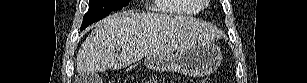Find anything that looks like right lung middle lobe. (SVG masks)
<instances>
[{
  "label": "right lung middle lobe",
  "instance_id": "dd1d6c3e",
  "mask_svg": "<svg viewBox=\"0 0 307 83\" xmlns=\"http://www.w3.org/2000/svg\"><path fill=\"white\" fill-rule=\"evenodd\" d=\"M130 0H90L89 10L84 15L81 30L89 24L107 16L111 11L120 10L129 4Z\"/></svg>",
  "mask_w": 307,
  "mask_h": 83
}]
</instances>
